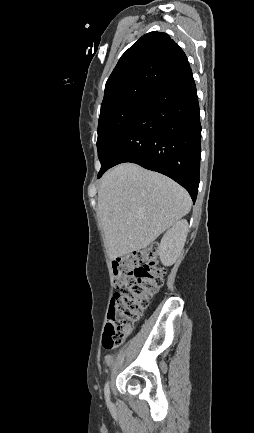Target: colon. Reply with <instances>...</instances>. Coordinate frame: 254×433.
Segmentation results:
<instances>
[{"label": "colon", "instance_id": "obj_1", "mask_svg": "<svg viewBox=\"0 0 254 433\" xmlns=\"http://www.w3.org/2000/svg\"><path fill=\"white\" fill-rule=\"evenodd\" d=\"M113 271L119 291L112 299L104 330L106 350L122 344L152 296L163 285L165 273L158 264L157 246L118 258L113 263Z\"/></svg>", "mask_w": 254, "mask_h": 433}]
</instances>
